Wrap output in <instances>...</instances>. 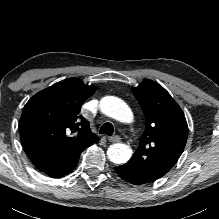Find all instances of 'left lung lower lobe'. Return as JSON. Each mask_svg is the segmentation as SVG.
<instances>
[{"label": "left lung lower lobe", "mask_w": 219, "mask_h": 219, "mask_svg": "<svg viewBox=\"0 0 219 219\" xmlns=\"http://www.w3.org/2000/svg\"><path fill=\"white\" fill-rule=\"evenodd\" d=\"M115 171L122 179H124L125 181H128L132 184H135V185L152 183L155 180L160 178V177L158 178V177L146 175V174L128 166L127 164L115 167Z\"/></svg>", "instance_id": "left-lung-lower-lobe-1"}]
</instances>
